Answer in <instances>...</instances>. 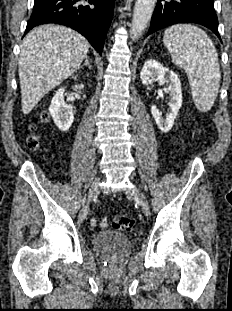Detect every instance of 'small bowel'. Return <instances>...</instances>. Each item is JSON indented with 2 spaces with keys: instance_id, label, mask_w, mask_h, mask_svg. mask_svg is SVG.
<instances>
[{
  "instance_id": "1",
  "label": "small bowel",
  "mask_w": 232,
  "mask_h": 311,
  "mask_svg": "<svg viewBox=\"0 0 232 311\" xmlns=\"http://www.w3.org/2000/svg\"><path fill=\"white\" fill-rule=\"evenodd\" d=\"M90 224H91V226L100 225L102 227H105L107 225V221L106 220L98 221L97 219L93 218V219H91Z\"/></svg>"
}]
</instances>
